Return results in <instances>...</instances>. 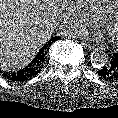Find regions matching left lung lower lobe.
<instances>
[{
    "mask_svg": "<svg viewBox=\"0 0 118 118\" xmlns=\"http://www.w3.org/2000/svg\"><path fill=\"white\" fill-rule=\"evenodd\" d=\"M101 79L112 83H118V52L109 54L107 63L98 70Z\"/></svg>",
    "mask_w": 118,
    "mask_h": 118,
    "instance_id": "obj_1",
    "label": "left lung lower lobe"
}]
</instances>
